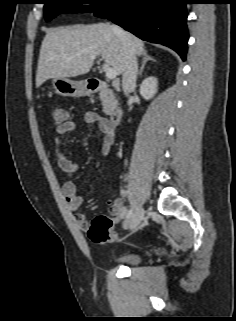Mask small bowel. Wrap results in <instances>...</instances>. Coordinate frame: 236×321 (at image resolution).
I'll return each mask as SVG.
<instances>
[{
	"instance_id": "small-bowel-1",
	"label": "small bowel",
	"mask_w": 236,
	"mask_h": 321,
	"mask_svg": "<svg viewBox=\"0 0 236 321\" xmlns=\"http://www.w3.org/2000/svg\"><path fill=\"white\" fill-rule=\"evenodd\" d=\"M85 122L96 125L104 135L100 156L105 157L115 142V125L109 119L95 112L87 113L85 115ZM75 128V122L66 121L56 128V132L52 139L53 155L59 168L67 176H72L79 168L78 163L70 160L62 150L65 136L74 131ZM62 192L67 208L72 212H76L84 202V197L79 194L76 184L72 181L65 182L62 187ZM125 211L126 209L123 206V200L121 198L109 201V212L114 217L115 221H120L124 217ZM74 219L80 228L87 229L88 221L83 213H75Z\"/></svg>"
}]
</instances>
